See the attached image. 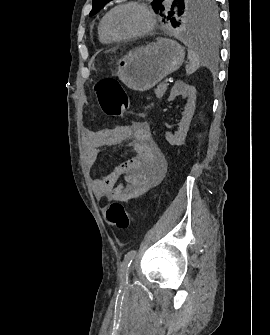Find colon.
Wrapping results in <instances>:
<instances>
[{
  "mask_svg": "<svg viewBox=\"0 0 270 335\" xmlns=\"http://www.w3.org/2000/svg\"><path fill=\"white\" fill-rule=\"evenodd\" d=\"M93 91L98 97L100 109L108 116L121 115L130 108L128 96L116 80L105 79L94 85ZM105 220L113 228L125 230L134 222V216L121 202L114 201L105 208Z\"/></svg>",
  "mask_w": 270,
  "mask_h": 335,
  "instance_id": "5ec220e1",
  "label": "colon"
}]
</instances>
